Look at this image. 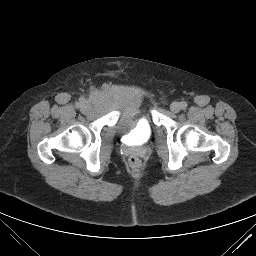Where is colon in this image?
<instances>
[{
	"label": "colon",
	"mask_w": 256,
	"mask_h": 256,
	"mask_svg": "<svg viewBox=\"0 0 256 256\" xmlns=\"http://www.w3.org/2000/svg\"><path fill=\"white\" fill-rule=\"evenodd\" d=\"M128 162L130 167L133 169H138L141 166L140 159L135 155L130 156Z\"/></svg>",
	"instance_id": "colon-1"
}]
</instances>
